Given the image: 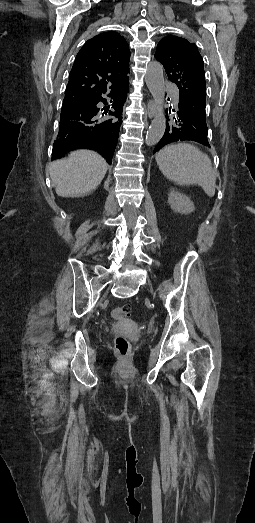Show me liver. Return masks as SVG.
<instances>
[{"instance_id": "liver-1", "label": "liver", "mask_w": 255, "mask_h": 523, "mask_svg": "<svg viewBox=\"0 0 255 523\" xmlns=\"http://www.w3.org/2000/svg\"><path fill=\"white\" fill-rule=\"evenodd\" d=\"M107 170L106 160L92 150L70 152L68 158L55 160L48 166L55 192L62 198H81L96 190Z\"/></svg>"}]
</instances>
